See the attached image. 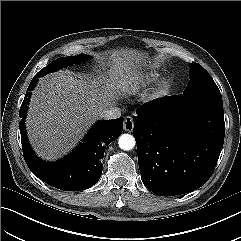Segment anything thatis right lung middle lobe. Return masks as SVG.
Segmentation results:
<instances>
[{"label":"right lung middle lobe","instance_id":"right-lung-middle-lobe-1","mask_svg":"<svg viewBox=\"0 0 241 241\" xmlns=\"http://www.w3.org/2000/svg\"><path fill=\"white\" fill-rule=\"evenodd\" d=\"M83 59H88V57L86 55L82 54L79 56L58 58L55 61L51 62L49 65H47L44 69L40 70L36 75L39 77L43 76L47 73L56 71L61 67H66L67 65H70L72 63H78V61H81Z\"/></svg>","mask_w":241,"mask_h":241}]
</instances>
